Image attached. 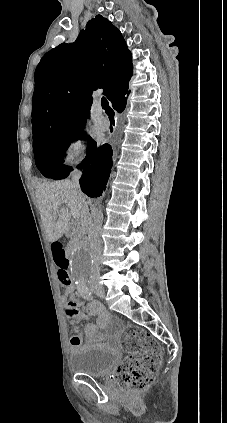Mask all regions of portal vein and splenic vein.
I'll list each match as a JSON object with an SVG mask.
<instances>
[{
	"label": "portal vein and splenic vein",
	"mask_w": 227,
	"mask_h": 423,
	"mask_svg": "<svg viewBox=\"0 0 227 423\" xmlns=\"http://www.w3.org/2000/svg\"><path fill=\"white\" fill-rule=\"evenodd\" d=\"M73 215V217H79V213H77V211H76V214H72Z\"/></svg>",
	"instance_id": "18ae733b"
}]
</instances>
